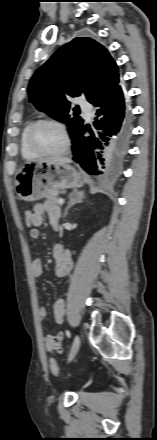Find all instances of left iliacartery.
Returning a JSON list of instances; mask_svg holds the SVG:
<instances>
[{
    "label": "left iliac artery",
    "mask_w": 157,
    "mask_h": 440,
    "mask_svg": "<svg viewBox=\"0 0 157 440\" xmlns=\"http://www.w3.org/2000/svg\"><path fill=\"white\" fill-rule=\"evenodd\" d=\"M68 337H70V333L68 332Z\"/></svg>",
    "instance_id": "44dca946"
}]
</instances>
